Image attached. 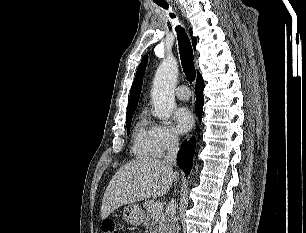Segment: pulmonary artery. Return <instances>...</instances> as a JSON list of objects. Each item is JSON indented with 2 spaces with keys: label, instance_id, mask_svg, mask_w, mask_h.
I'll return each mask as SVG.
<instances>
[{
  "label": "pulmonary artery",
  "instance_id": "obj_1",
  "mask_svg": "<svg viewBox=\"0 0 306 233\" xmlns=\"http://www.w3.org/2000/svg\"><path fill=\"white\" fill-rule=\"evenodd\" d=\"M175 95L180 100H188L191 96L186 85H180L179 87H177V89L175 90Z\"/></svg>",
  "mask_w": 306,
  "mask_h": 233
}]
</instances>
